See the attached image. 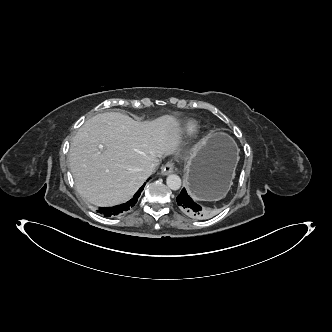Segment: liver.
Returning <instances> with one entry per match:
<instances>
[{
    "label": "liver",
    "instance_id": "6515ba94",
    "mask_svg": "<svg viewBox=\"0 0 332 332\" xmlns=\"http://www.w3.org/2000/svg\"><path fill=\"white\" fill-rule=\"evenodd\" d=\"M179 144V122L174 116L138 123L117 112L97 114L82 125L70 145L75 187L96 206L124 203L149 176L146 169L163 155L177 152Z\"/></svg>",
    "mask_w": 332,
    "mask_h": 332
}]
</instances>
